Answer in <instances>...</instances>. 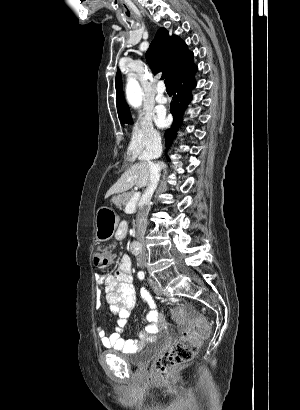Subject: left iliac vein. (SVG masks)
<instances>
[{
	"mask_svg": "<svg viewBox=\"0 0 300 410\" xmlns=\"http://www.w3.org/2000/svg\"><path fill=\"white\" fill-rule=\"evenodd\" d=\"M150 283H151V286H152L154 292H155L157 295H162V290H161L160 285H159L156 281H154V280H152V279H150Z\"/></svg>",
	"mask_w": 300,
	"mask_h": 410,
	"instance_id": "left-iliac-vein-1",
	"label": "left iliac vein"
}]
</instances>
